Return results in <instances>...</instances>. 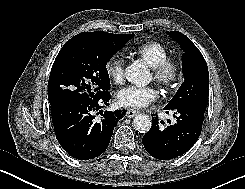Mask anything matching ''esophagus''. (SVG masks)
I'll list each match as a JSON object with an SVG mask.
<instances>
[{
    "mask_svg": "<svg viewBox=\"0 0 245 189\" xmlns=\"http://www.w3.org/2000/svg\"><path fill=\"white\" fill-rule=\"evenodd\" d=\"M137 113H138V111L135 110V109H128V111H127V113H126V116H127L128 118H132V117H134Z\"/></svg>",
    "mask_w": 245,
    "mask_h": 189,
    "instance_id": "esophagus-1",
    "label": "esophagus"
}]
</instances>
